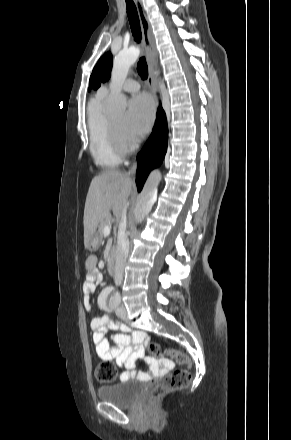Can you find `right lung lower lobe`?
<instances>
[{
    "label": "right lung lower lobe",
    "instance_id": "98d812e1",
    "mask_svg": "<svg viewBox=\"0 0 291 440\" xmlns=\"http://www.w3.org/2000/svg\"><path fill=\"white\" fill-rule=\"evenodd\" d=\"M168 128L166 114L162 107L158 108L157 119L153 131L138 154V167L136 174V184L138 191L143 185L151 170L158 167L167 151Z\"/></svg>",
    "mask_w": 291,
    "mask_h": 440
}]
</instances>
